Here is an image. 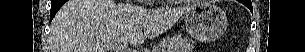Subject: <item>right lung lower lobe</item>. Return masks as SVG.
Segmentation results:
<instances>
[{
    "label": "right lung lower lobe",
    "instance_id": "1",
    "mask_svg": "<svg viewBox=\"0 0 305 52\" xmlns=\"http://www.w3.org/2000/svg\"><path fill=\"white\" fill-rule=\"evenodd\" d=\"M66 2V0H52V6L50 10V21L53 19L57 11Z\"/></svg>",
    "mask_w": 305,
    "mask_h": 52
}]
</instances>
